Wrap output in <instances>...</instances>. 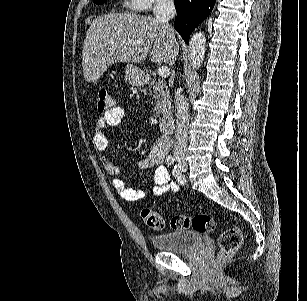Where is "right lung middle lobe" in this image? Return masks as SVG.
Here are the masks:
<instances>
[{"label":"right lung middle lobe","instance_id":"dd1d6c3e","mask_svg":"<svg viewBox=\"0 0 307 301\" xmlns=\"http://www.w3.org/2000/svg\"><path fill=\"white\" fill-rule=\"evenodd\" d=\"M104 2H106V0H94V3L96 4H103Z\"/></svg>","mask_w":307,"mask_h":301}]
</instances>
